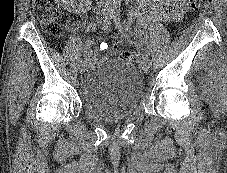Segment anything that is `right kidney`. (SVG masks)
I'll return each mask as SVG.
<instances>
[{"mask_svg":"<svg viewBox=\"0 0 227 173\" xmlns=\"http://www.w3.org/2000/svg\"><path fill=\"white\" fill-rule=\"evenodd\" d=\"M60 1L64 7L69 9H71L72 7L73 9H76L77 5H75V0H60Z\"/></svg>","mask_w":227,"mask_h":173,"instance_id":"right-kidney-1","label":"right kidney"}]
</instances>
